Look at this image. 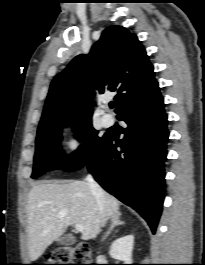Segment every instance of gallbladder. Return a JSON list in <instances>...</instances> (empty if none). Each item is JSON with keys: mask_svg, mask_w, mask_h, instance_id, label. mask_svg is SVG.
I'll return each instance as SVG.
<instances>
[{"mask_svg": "<svg viewBox=\"0 0 205 265\" xmlns=\"http://www.w3.org/2000/svg\"><path fill=\"white\" fill-rule=\"evenodd\" d=\"M60 245L71 246L75 243V239L71 234H67L58 240Z\"/></svg>", "mask_w": 205, "mask_h": 265, "instance_id": "bac80fb5", "label": "gallbladder"}]
</instances>
